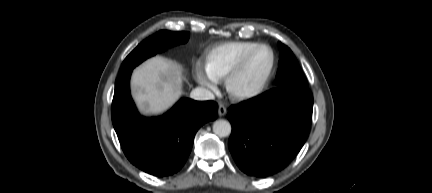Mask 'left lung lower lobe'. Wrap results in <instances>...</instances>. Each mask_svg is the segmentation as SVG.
Here are the masks:
<instances>
[{
    "mask_svg": "<svg viewBox=\"0 0 432 193\" xmlns=\"http://www.w3.org/2000/svg\"><path fill=\"white\" fill-rule=\"evenodd\" d=\"M312 110V93L299 88H275L232 105L228 145L238 167L256 177L286 167L307 139Z\"/></svg>",
    "mask_w": 432,
    "mask_h": 193,
    "instance_id": "obj_1",
    "label": "left lung lower lobe"
}]
</instances>
